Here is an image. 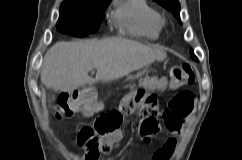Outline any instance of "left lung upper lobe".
<instances>
[{"instance_id":"1","label":"left lung upper lobe","mask_w":242,"mask_h":160,"mask_svg":"<svg viewBox=\"0 0 242 160\" xmlns=\"http://www.w3.org/2000/svg\"><path fill=\"white\" fill-rule=\"evenodd\" d=\"M157 3H159L161 6L166 8L167 10L171 11L172 14L177 18V20L180 21V4L178 0H154ZM191 57L194 60H198L197 57L194 55L193 50L190 51Z\"/></svg>"}]
</instances>
